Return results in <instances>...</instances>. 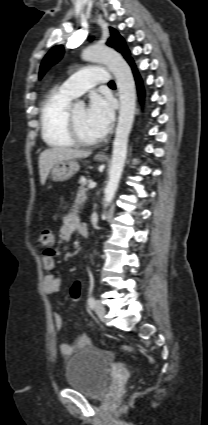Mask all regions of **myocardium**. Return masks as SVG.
Segmentation results:
<instances>
[{"label": "myocardium", "instance_id": "1", "mask_svg": "<svg viewBox=\"0 0 208 425\" xmlns=\"http://www.w3.org/2000/svg\"><path fill=\"white\" fill-rule=\"evenodd\" d=\"M67 126L71 139L76 145L79 146H94L100 142V139L87 140L82 137L77 127L76 121L73 115V109L69 108L67 112Z\"/></svg>", "mask_w": 208, "mask_h": 425}]
</instances>
